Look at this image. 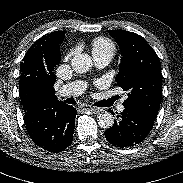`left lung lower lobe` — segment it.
<instances>
[{"label":"left lung lower lobe","instance_id":"1","mask_svg":"<svg viewBox=\"0 0 183 183\" xmlns=\"http://www.w3.org/2000/svg\"><path fill=\"white\" fill-rule=\"evenodd\" d=\"M118 121L105 131L106 139L117 147H133L142 142L151 131L155 119L137 111L126 108L117 115Z\"/></svg>","mask_w":183,"mask_h":183}]
</instances>
